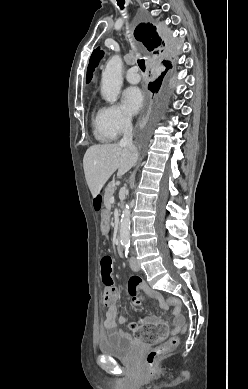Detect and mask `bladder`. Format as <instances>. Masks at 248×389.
Returning a JSON list of instances; mask_svg holds the SVG:
<instances>
[{
    "label": "bladder",
    "mask_w": 248,
    "mask_h": 389,
    "mask_svg": "<svg viewBox=\"0 0 248 389\" xmlns=\"http://www.w3.org/2000/svg\"><path fill=\"white\" fill-rule=\"evenodd\" d=\"M98 348L103 355L118 359H130L135 354L138 346L130 338L114 333L102 337Z\"/></svg>",
    "instance_id": "31cf9c89"
}]
</instances>
